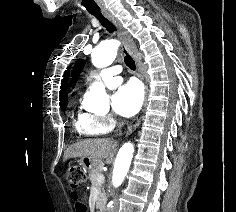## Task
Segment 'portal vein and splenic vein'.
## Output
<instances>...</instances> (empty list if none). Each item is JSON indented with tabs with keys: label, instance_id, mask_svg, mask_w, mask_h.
<instances>
[{
	"label": "portal vein and splenic vein",
	"instance_id": "1",
	"mask_svg": "<svg viewBox=\"0 0 236 212\" xmlns=\"http://www.w3.org/2000/svg\"><path fill=\"white\" fill-rule=\"evenodd\" d=\"M104 179H105L104 175H99L97 178V182H102L104 181Z\"/></svg>",
	"mask_w": 236,
	"mask_h": 212
}]
</instances>
